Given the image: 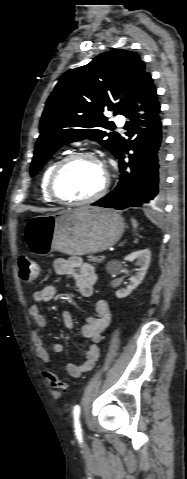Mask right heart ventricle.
I'll return each mask as SVG.
<instances>
[{
    "instance_id": "obj_1",
    "label": "right heart ventricle",
    "mask_w": 187,
    "mask_h": 479,
    "mask_svg": "<svg viewBox=\"0 0 187 479\" xmlns=\"http://www.w3.org/2000/svg\"><path fill=\"white\" fill-rule=\"evenodd\" d=\"M57 163H58V160H54V161L50 162L47 165V167L44 169V171L41 175L40 192H41V196H42L43 200L46 201V202H52L53 201V199L48 194L47 184H48L49 176H50L53 168L55 167V165Z\"/></svg>"
}]
</instances>
